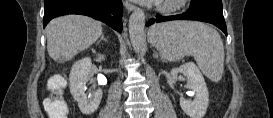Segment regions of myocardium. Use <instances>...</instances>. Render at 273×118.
<instances>
[{
  "label": "myocardium",
  "instance_id": "myocardium-1",
  "mask_svg": "<svg viewBox=\"0 0 273 118\" xmlns=\"http://www.w3.org/2000/svg\"><path fill=\"white\" fill-rule=\"evenodd\" d=\"M186 0H164L162 1L158 9L162 12H170L178 10Z\"/></svg>",
  "mask_w": 273,
  "mask_h": 118
}]
</instances>
